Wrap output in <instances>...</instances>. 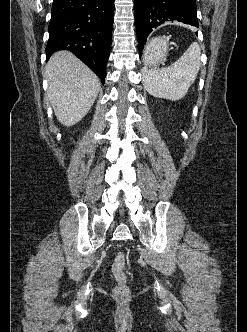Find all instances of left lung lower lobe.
Returning <instances> with one entry per match:
<instances>
[{"label":"left lung lower lobe","mask_w":247,"mask_h":332,"mask_svg":"<svg viewBox=\"0 0 247 332\" xmlns=\"http://www.w3.org/2000/svg\"><path fill=\"white\" fill-rule=\"evenodd\" d=\"M174 20L198 27L195 0H135L139 54L154 28Z\"/></svg>","instance_id":"0a47b994"}]
</instances>
